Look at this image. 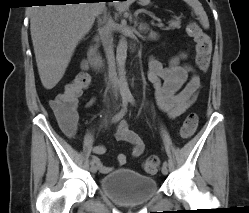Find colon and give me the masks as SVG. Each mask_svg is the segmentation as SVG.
<instances>
[{"label":"colon","mask_w":249,"mask_h":213,"mask_svg":"<svg viewBox=\"0 0 249 213\" xmlns=\"http://www.w3.org/2000/svg\"><path fill=\"white\" fill-rule=\"evenodd\" d=\"M187 33L196 42V64L202 72H205L210 62L211 40L196 22L188 24ZM90 81L87 73L79 72L71 82L65 85L64 91L50 101V107L61 123L71 126L76 122L77 100L89 87ZM197 124V115L188 114L180 128L181 137H190L195 132ZM142 167L146 173H155L159 167V159L156 156H150L145 159Z\"/></svg>","instance_id":"colon-1"}]
</instances>
